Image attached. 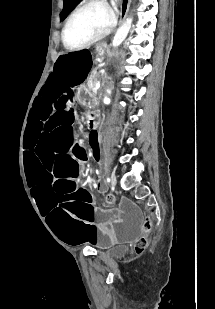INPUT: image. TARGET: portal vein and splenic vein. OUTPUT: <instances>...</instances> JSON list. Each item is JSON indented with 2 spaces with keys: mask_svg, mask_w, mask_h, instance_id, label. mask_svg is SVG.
I'll use <instances>...</instances> for the list:
<instances>
[{
  "mask_svg": "<svg viewBox=\"0 0 215 309\" xmlns=\"http://www.w3.org/2000/svg\"><path fill=\"white\" fill-rule=\"evenodd\" d=\"M99 86H100V82H98V84H96V88H99Z\"/></svg>",
  "mask_w": 215,
  "mask_h": 309,
  "instance_id": "portal-vein-and-splenic-vein-1",
  "label": "portal vein and splenic vein"
}]
</instances>
